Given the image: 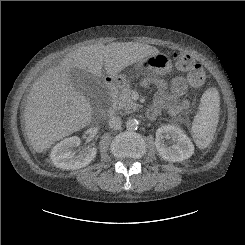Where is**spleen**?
Wrapping results in <instances>:
<instances>
[{"instance_id": "spleen-1", "label": "spleen", "mask_w": 245, "mask_h": 245, "mask_svg": "<svg viewBox=\"0 0 245 245\" xmlns=\"http://www.w3.org/2000/svg\"><path fill=\"white\" fill-rule=\"evenodd\" d=\"M220 112V96L215 88H210L201 97L200 110L196 114L192 134L199 148H206L216 132Z\"/></svg>"}]
</instances>
